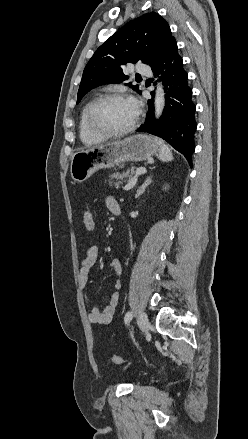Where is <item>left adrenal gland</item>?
I'll list each match as a JSON object with an SVG mask.
<instances>
[{"instance_id":"obj_1","label":"left adrenal gland","mask_w":248,"mask_h":439,"mask_svg":"<svg viewBox=\"0 0 248 439\" xmlns=\"http://www.w3.org/2000/svg\"><path fill=\"white\" fill-rule=\"evenodd\" d=\"M152 176H148L142 186L137 190L135 198H138L141 194L144 193L145 189L151 184Z\"/></svg>"}]
</instances>
